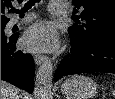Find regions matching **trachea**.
<instances>
[{
	"label": "trachea",
	"instance_id": "trachea-1",
	"mask_svg": "<svg viewBox=\"0 0 115 99\" xmlns=\"http://www.w3.org/2000/svg\"><path fill=\"white\" fill-rule=\"evenodd\" d=\"M36 2H39V0H29L21 10H16L15 8H13L12 12L19 13L21 16H23L24 13L28 9H30Z\"/></svg>",
	"mask_w": 115,
	"mask_h": 99
}]
</instances>
